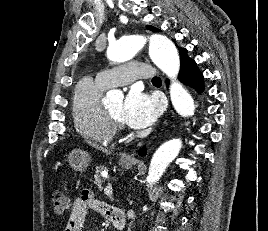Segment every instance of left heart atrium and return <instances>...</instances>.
Masks as SVG:
<instances>
[{
  "mask_svg": "<svg viewBox=\"0 0 268 231\" xmlns=\"http://www.w3.org/2000/svg\"><path fill=\"white\" fill-rule=\"evenodd\" d=\"M160 111L156 98L133 87L123 103L122 118L129 127L141 129L151 125Z\"/></svg>",
  "mask_w": 268,
  "mask_h": 231,
  "instance_id": "39dd6f15",
  "label": "left heart atrium"
}]
</instances>
